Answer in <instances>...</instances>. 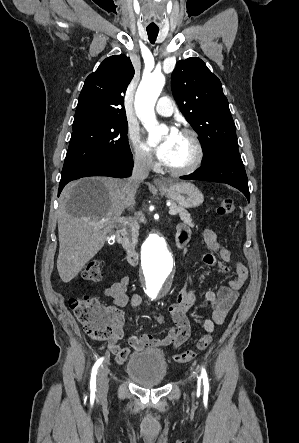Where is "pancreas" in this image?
Returning a JSON list of instances; mask_svg holds the SVG:
<instances>
[{"instance_id":"obj_1","label":"pancreas","mask_w":299,"mask_h":443,"mask_svg":"<svg viewBox=\"0 0 299 443\" xmlns=\"http://www.w3.org/2000/svg\"><path fill=\"white\" fill-rule=\"evenodd\" d=\"M170 209L175 210L179 214L180 219L184 223L188 224L191 227H194V223L192 221V218H191L190 214L188 213V211L185 208L177 205L175 202H171ZM139 221L141 222L142 218H140ZM138 232H139L138 221L137 220H133L129 224L128 228L125 231L126 237L123 240L124 246H126V247H129V246L134 247L136 245V243H137V238H138V234H139Z\"/></svg>"}]
</instances>
